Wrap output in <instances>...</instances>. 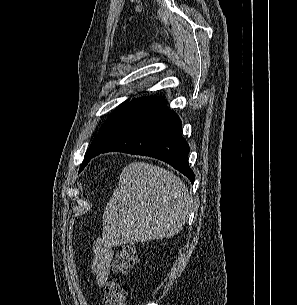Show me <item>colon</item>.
Here are the masks:
<instances>
[{
	"mask_svg": "<svg viewBox=\"0 0 297 305\" xmlns=\"http://www.w3.org/2000/svg\"><path fill=\"white\" fill-rule=\"evenodd\" d=\"M139 252L134 245L123 246L114 260V270L120 275H127L139 262ZM127 289L125 285L112 280L104 286L103 305H125Z\"/></svg>",
	"mask_w": 297,
	"mask_h": 305,
	"instance_id": "1",
	"label": "colon"
}]
</instances>
